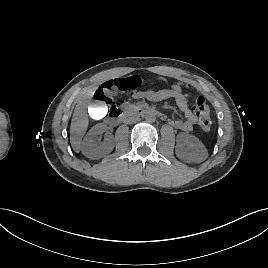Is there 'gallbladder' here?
Here are the masks:
<instances>
[{
	"label": "gallbladder",
	"instance_id": "bac80fb5",
	"mask_svg": "<svg viewBox=\"0 0 268 268\" xmlns=\"http://www.w3.org/2000/svg\"><path fill=\"white\" fill-rule=\"evenodd\" d=\"M88 113L96 120H103L108 114V107L101 101H94L89 106Z\"/></svg>",
	"mask_w": 268,
	"mask_h": 268
}]
</instances>
